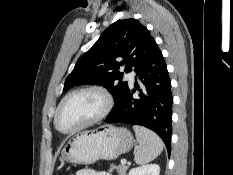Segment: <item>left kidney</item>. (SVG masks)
I'll return each instance as SVG.
<instances>
[{
    "instance_id": "left-kidney-1",
    "label": "left kidney",
    "mask_w": 233,
    "mask_h": 175,
    "mask_svg": "<svg viewBox=\"0 0 233 175\" xmlns=\"http://www.w3.org/2000/svg\"><path fill=\"white\" fill-rule=\"evenodd\" d=\"M160 167L157 164H147L129 171L128 175H159Z\"/></svg>"
}]
</instances>
